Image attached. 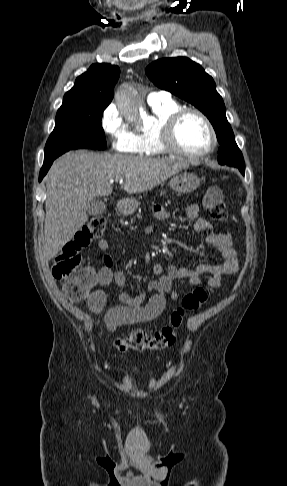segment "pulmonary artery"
Listing matches in <instances>:
<instances>
[{
	"mask_svg": "<svg viewBox=\"0 0 287 486\" xmlns=\"http://www.w3.org/2000/svg\"><path fill=\"white\" fill-rule=\"evenodd\" d=\"M170 94L166 91H154L148 94L147 101L149 104L157 103L160 101L170 100Z\"/></svg>",
	"mask_w": 287,
	"mask_h": 486,
	"instance_id": "e3ab8cb5",
	"label": "pulmonary artery"
}]
</instances>
